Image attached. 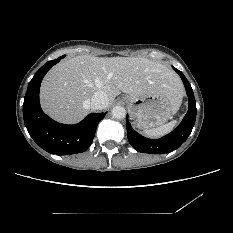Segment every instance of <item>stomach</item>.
<instances>
[{"label": "stomach", "instance_id": "obj_1", "mask_svg": "<svg viewBox=\"0 0 233 233\" xmlns=\"http://www.w3.org/2000/svg\"><path fill=\"white\" fill-rule=\"evenodd\" d=\"M123 100L141 129L154 128L166 123L179 107L166 95L157 93L145 96L125 95Z\"/></svg>", "mask_w": 233, "mask_h": 233}]
</instances>
